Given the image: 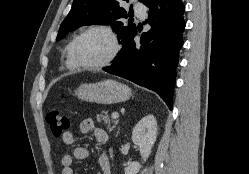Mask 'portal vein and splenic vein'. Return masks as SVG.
I'll return each instance as SVG.
<instances>
[{
	"mask_svg": "<svg viewBox=\"0 0 249 174\" xmlns=\"http://www.w3.org/2000/svg\"><path fill=\"white\" fill-rule=\"evenodd\" d=\"M111 117H112V119H118L119 114L118 113H112Z\"/></svg>",
	"mask_w": 249,
	"mask_h": 174,
	"instance_id": "1",
	"label": "portal vein and splenic vein"
}]
</instances>
